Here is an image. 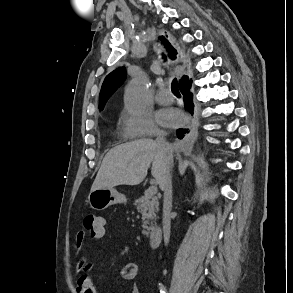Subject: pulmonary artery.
<instances>
[{
  "label": "pulmonary artery",
  "mask_w": 293,
  "mask_h": 293,
  "mask_svg": "<svg viewBox=\"0 0 293 293\" xmlns=\"http://www.w3.org/2000/svg\"><path fill=\"white\" fill-rule=\"evenodd\" d=\"M156 100L160 104H170L174 101V96L170 89H161L156 96Z\"/></svg>",
  "instance_id": "obj_1"
}]
</instances>
